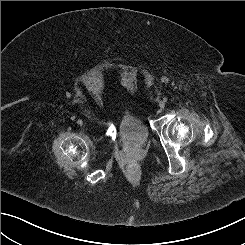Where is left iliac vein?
<instances>
[{"instance_id": "4c4485c4", "label": "left iliac vein", "mask_w": 245, "mask_h": 245, "mask_svg": "<svg viewBox=\"0 0 245 245\" xmlns=\"http://www.w3.org/2000/svg\"><path fill=\"white\" fill-rule=\"evenodd\" d=\"M159 106H160V108H164L165 103H164L163 101H160V102H159Z\"/></svg>"}]
</instances>
